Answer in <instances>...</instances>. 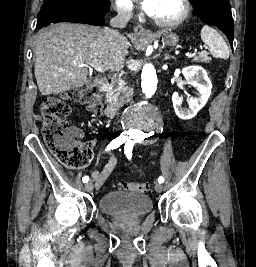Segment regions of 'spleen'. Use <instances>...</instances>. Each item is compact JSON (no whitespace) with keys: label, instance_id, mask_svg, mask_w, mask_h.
<instances>
[{"label":"spleen","instance_id":"3e777b00","mask_svg":"<svg viewBox=\"0 0 256 267\" xmlns=\"http://www.w3.org/2000/svg\"><path fill=\"white\" fill-rule=\"evenodd\" d=\"M201 40L210 48L213 58H221V60H228L230 50L222 36L217 30L210 28V26H203L201 30Z\"/></svg>","mask_w":256,"mask_h":267}]
</instances>
